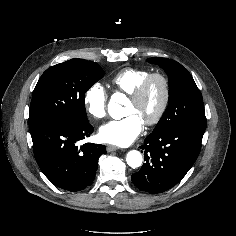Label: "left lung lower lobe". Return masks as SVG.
I'll return each instance as SVG.
<instances>
[{
    "instance_id": "obj_1",
    "label": "left lung lower lobe",
    "mask_w": 236,
    "mask_h": 236,
    "mask_svg": "<svg viewBox=\"0 0 236 236\" xmlns=\"http://www.w3.org/2000/svg\"><path fill=\"white\" fill-rule=\"evenodd\" d=\"M204 130L178 126L149 134L141 146L145 163L132 175L134 185L152 194L174 187L196 161Z\"/></svg>"
}]
</instances>
